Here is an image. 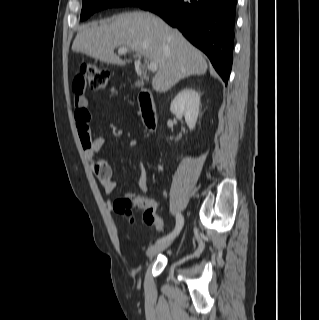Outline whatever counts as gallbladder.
Here are the masks:
<instances>
[{"instance_id": "gallbladder-1", "label": "gallbladder", "mask_w": 319, "mask_h": 320, "mask_svg": "<svg viewBox=\"0 0 319 320\" xmlns=\"http://www.w3.org/2000/svg\"><path fill=\"white\" fill-rule=\"evenodd\" d=\"M143 84H144L143 81L138 80V81H136L135 86H136V87H142Z\"/></svg>"}]
</instances>
